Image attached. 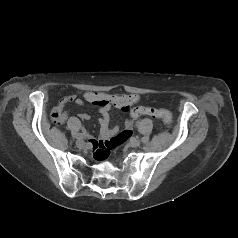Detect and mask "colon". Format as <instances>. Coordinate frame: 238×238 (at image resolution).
<instances>
[{
	"mask_svg": "<svg viewBox=\"0 0 238 238\" xmlns=\"http://www.w3.org/2000/svg\"><path fill=\"white\" fill-rule=\"evenodd\" d=\"M59 115V113H57ZM151 116L154 118H161L164 120V122L168 123L170 121V115L168 112L164 110L154 109L151 107H137L131 110L129 112L128 117L131 120L136 119L140 116ZM56 116V115H55ZM133 124L130 121L125 122L123 131L121 133H118L112 137L95 141L93 144L94 148V157L97 160H104L106 159L110 152L120 146L122 143H124L129 135L132 132Z\"/></svg>",
	"mask_w": 238,
	"mask_h": 238,
	"instance_id": "obj_1",
	"label": "colon"
}]
</instances>
